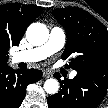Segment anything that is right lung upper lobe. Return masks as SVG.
<instances>
[{
    "instance_id": "obj_1",
    "label": "right lung upper lobe",
    "mask_w": 108,
    "mask_h": 108,
    "mask_svg": "<svg viewBox=\"0 0 108 108\" xmlns=\"http://www.w3.org/2000/svg\"><path fill=\"white\" fill-rule=\"evenodd\" d=\"M42 12L34 5L10 3L0 6V66L7 65L8 50L19 45L27 27Z\"/></svg>"
}]
</instances>
